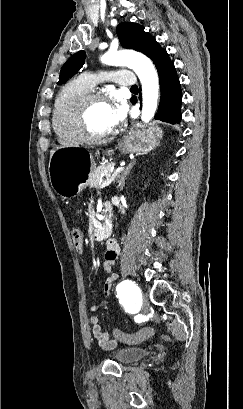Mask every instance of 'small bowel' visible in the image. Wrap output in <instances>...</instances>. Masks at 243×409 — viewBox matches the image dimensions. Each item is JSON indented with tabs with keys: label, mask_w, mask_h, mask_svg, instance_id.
Returning <instances> with one entry per match:
<instances>
[{
	"label": "small bowel",
	"mask_w": 243,
	"mask_h": 409,
	"mask_svg": "<svg viewBox=\"0 0 243 409\" xmlns=\"http://www.w3.org/2000/svg\"><path fill=\"white\" fill-rule=\"evenodd\" d=\"M119 254V246L115 241L108 242V251L106 253L105 262H104V271L107 274V278L103 287V293L106 297L110 296L111 288L113 282L118 278V274L114 270L115 262ZM107 305V301H101L100 303L94 304L91 306L90 310L95 312L102 307ZM92 325V336L97 343V345L105 350L113 349L117 346V339H111L110 336L102 332L100 322L97 316L92 315L90 318ZM147 339V338H146ZM143 339L141 341H144ZM139 341V342H141Z\"/></svg>",
	"instance_id": "1"
}]
</instances>
